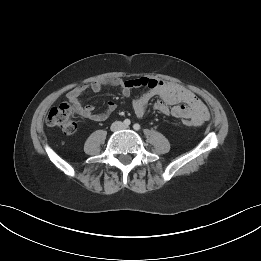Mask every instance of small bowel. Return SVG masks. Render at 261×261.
Returning a JSON list of instances; mask_svg holds the SVG:
<instances>
[{"instance_id": "c3829d8e", "label": "small bowel", "mask_w": 261, "mask_h": 261, "mask_svg": "<svg viewBox=\"0 0 261 261\" xmlns=\"http://www.w3.org/2000/svg\"><path fill=\"white\" fill-rule=\"evenodd\" d=\"M104 87L119 88L126 97L130 96L131 91L135 88H145V92L133 101V110L139 118L146 114L150 100L158 97L159 99L154 103L153 108L162 114L189 119L195 126L202 125L209 119L205 104L195 93L178 84L148 77L92 81L69 91L67 99L75 112L82 117L92 121H104L116 110L115 102H108L105 110L97 113L92 105H84L81 101V97L87 90L98 93Z\"/></svg>"}]
</instances>
